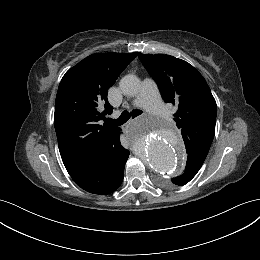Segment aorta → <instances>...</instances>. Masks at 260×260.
Returning a JSON list of instances; mask_svg holds the SVG:
<instances>
[{
    "mask_svg": "<svg viewBox=\"0 0 260 260\" xmlns=\"http://www.w3.org/2000/svg\"><path fill=\"white\" fill-rule=\"evenodd\" d=\"M125 96H135L141 87L140 80L131 75L123 77L119 83ZM144 134L142 156L147 165L163 175H171L184 167V154L176 131L161 121L146 120L131 131L133 138Z\"/></svg>",
    "mask_w": 260,
    "mask_h": 260,
    "instance_id": "762f6f07",
    "label": "aorta"
}]
</instances>
